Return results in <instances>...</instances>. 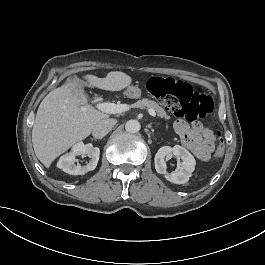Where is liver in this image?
Instances as JSON below:
<instances>
[{"mask_svg":"<svg viewBox=\"0 0 265 265\" xmlns=\"http://www.w3.org/2000/svg\"><path fill=\"white\" fill-rule=\"evenodd\" d=\"M84 82L70 80L48 93L39 105L32 130L34 152L49 168L60 154L90 135L95 125L109 115L87 103L83 86L120 91L132 79L123 72H109L106 78L86 75Z\"/></svg>","mask_w":265,"mask_h":265,"instance_id":"obj_1","label":"liver"}]
</instances>
